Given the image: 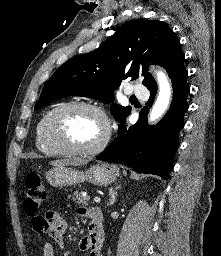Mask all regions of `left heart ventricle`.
I'll use <instances>...</instances> for the list:
<instances>
[{"label": "left heart ventricle", "mask_w": 221, "mask_h": 256, "mask_svg": "<svg viewBox=\"0 0 221 256\" xmlns=\"http://www.w3.org/2000/svg\"><path fill=\"white\" fill-rule=\"evenodd\" d=\"M105 126L92 111L76 108L62 112L53 125V133L72 146L86 148L95 145L102 137Z\"/></svg>", "instance_id": "obj_1"}]
</instances>
